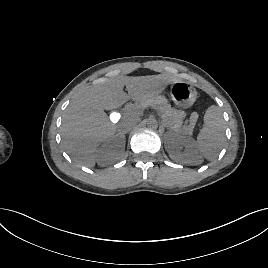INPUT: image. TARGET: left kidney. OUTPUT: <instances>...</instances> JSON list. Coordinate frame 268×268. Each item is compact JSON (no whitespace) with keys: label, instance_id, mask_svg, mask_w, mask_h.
Listing matches in <instances>:
<instances>
[{"label":"left kidney","instance_id":"1","mask_svg":"<svg viewBox=\"0 0 268 268\" xmlns=\"http://www.w3.org/2000/svg\"><path fill=\"white\" fill-rule=\"evenodd\" d=\"M182 147H185L184 151ZM165 149L172 160L191 165L202 163V156L191 137L168 132L165 135Z\"/></svg>","mask_w":268,"mask_h":268}]
</instances>
